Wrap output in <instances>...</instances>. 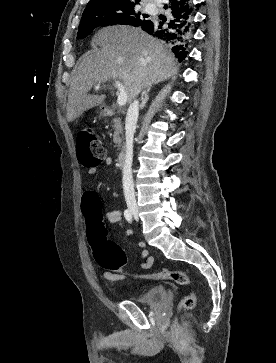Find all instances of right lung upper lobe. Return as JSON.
Instances as JSON below:
<instances>
[{"instance_id": "right-lung-upper-lobe-1", "label": "right lung upper lobe", "mask_w": 276, "mask_h": 363, "mask_svg": "<svg viewBox=\"0 0 276 363\" xmlns=\"http://www.w3.org/2000/svg\"><path fill=\"white\" fill-rule=\"evenodd\" d=\"M109 1H127V2H135V3H139L140 0H90L89 3L87 4L86 7H89L91 5H94V4H98V3H103V2H109ZM145 22H151L150 20H144L140 26L143 25V23Z\"/></svg>"}]
</instances>
